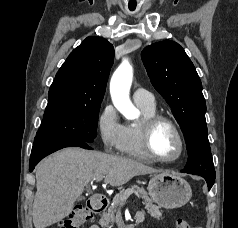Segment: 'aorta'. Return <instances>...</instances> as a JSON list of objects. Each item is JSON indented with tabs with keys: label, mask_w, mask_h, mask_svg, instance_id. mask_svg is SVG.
Here are the masks:
<instances>
[{
	"label": "aorta",
	"mask_w": 238,
	"mask_h": 228,
	"mask_svg": "<svg viewBox=\"0 0 238 228\" xmlns=\"http://www.w3.org/2000/svg\"><path fill=\"white\" fill-rule=\"evenodd\" d=\"M132 79V66L128 62H123L114 72L110 82V94L113 104L127 119H133L138 114L129 97Z\"/></svg>",
	"instance_id": "aorta-1"
}]
</instances>
